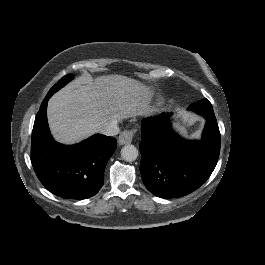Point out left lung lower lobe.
I'll return each mask as SVG.
<instances>
[{"label":"left lung lower lobe","mask_w":265,"mask_h":265,"mask_svg":"<svg viewBox=\"0 0 265 265\" xmlns=\"http://www.w3.org/2000/svg\"><path fill=\"white\" fill-rule=\"evenodd\" d=\"M206 119L201 141H185L171 128L169 115L143 119L140 172L146 188L161 198L185 196L213 172L220 152V132L211 103L190 106Z\"/></svg>","instance_id":"obj_1"}]
</instances>
